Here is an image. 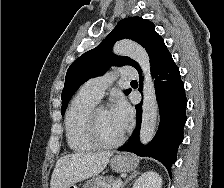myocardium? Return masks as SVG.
I'll return each instance as SVG.
<instances>
[{
  "instance_id": "obj_1",
  "label": "myocardium",
  "mask_w": 224,
  "mask_h": 188,
  "mask_svg": "<svg viewBox=\"0 0 224 188\" xmlns=\"http://www.w3.org/2000/svg\"><path fill=\"white\" fill-rule=\"evenodd\" d=\"M102 110H107L104 105H95L86 118V132L90 141L97 147L113 148L120 145L126 137V130L115 140L108 141L103 139L98 131V114Z\"/></svg>"
}]
</instances>
